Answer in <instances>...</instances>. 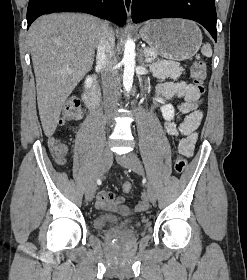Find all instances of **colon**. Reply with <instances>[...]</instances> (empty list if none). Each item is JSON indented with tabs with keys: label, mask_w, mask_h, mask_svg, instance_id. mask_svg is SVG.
<instances>
[{
	"label": "colon",
	"mask_w": 247,
	"mask_h": 280,
	"mask_svg": "<svg viewBox=\"0 0 247 280\" xmlns=\"http://www.w3.org/2000/svg\"><path fill=\"white\" fill-rule=\"evenodd\" d=\"M191 78L199 90L200 93L203 92V82L206 78V64L203 61H196L193 63L191 67ZM81 116L80 110H79V102L76 99L70 100L63 111V116L60 120V124H64L66 121L79 118ZM49 147L53 154V156L58 160L59 162H62L66 158L67 148L65 143L58 139V138H52L49 140ZM187 165V161L183 156H177L174 163V169L175 172L180 174L182 173ZM133 187L132 184L129 182H124L122 184V190L125 193H130L132 191Z\"/></svg>",
	"instance_id": "5ec220e1"
}]
</instances>
